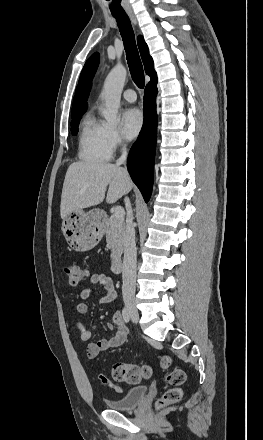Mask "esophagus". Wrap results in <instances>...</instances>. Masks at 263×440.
<instances>
[{
    "label": "esophagus",
    "mask_w": 263,
    "mask_h": 440,
    "mask_svg": "<svg viewBox=\"0 0 263 440\" xmlns=\"http://www.w3.org/2000/svg\"><path fill=\"white\" fill-rule=\"evenodd\" d=\"M127 14H128V16H129V18L131 19L132 23H133L134 25H136V18H135L134 13L132 12V10H128V11H127Z\"/></svg>",
    "instance_id": "1"
}]
</instances>
